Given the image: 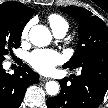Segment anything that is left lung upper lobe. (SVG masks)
<instances>
[{
	"label": "left lung upper lobe",
	"instance_id": "obj_1",
	"mask_svg": "<svg viewBox=\"0 0 108 108\" xmlns=\"http://www.w3.org/2000/svg\"><path fill=\"white\" fill-rule=\"evenodd\" d=\"M64 13L78 20L79 42L72 58L64 68H77L87 64L102 65L108 61V27L97 16L84 8L65 7Z\"/></svg>",
	"mask_w": 108,
	"mask_h": 108
}]
</instances>
